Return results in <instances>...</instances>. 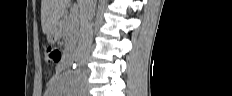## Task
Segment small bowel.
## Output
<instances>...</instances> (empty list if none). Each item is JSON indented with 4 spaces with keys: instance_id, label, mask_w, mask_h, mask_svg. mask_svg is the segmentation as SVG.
Returning <instances> with one entry per match:
<instances>
[{
    "instance_id": "obj_1",
    "label": "small bowel",
    "mask_w": 232,
    "mask_h": 96,
    "mask_svg": "<svg viewBox=\"0 0 232 96\" xmlns=\"http://www.w3.org/2000/svg\"><path fill=\"white\" fill-rule=\"evenodd\" d=\"M59 69H60V66L57 67V70H59Z\"/></svg>"
}]
</instances>
